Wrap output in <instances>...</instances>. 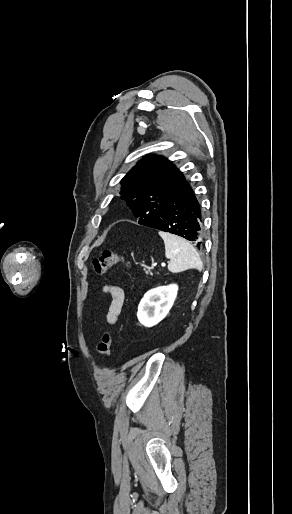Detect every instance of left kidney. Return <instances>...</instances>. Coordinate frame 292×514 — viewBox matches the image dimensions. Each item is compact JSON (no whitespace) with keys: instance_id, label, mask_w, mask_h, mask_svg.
I'll list each match as a JSON object with an SVG mask.
<instances>
[{"instance_id":"5707ae66","label":"left kidney","mask_w":292,"mask_h":514,"mask_svg":"<svg viewBox=\"0 0 292 514\" xmlns=\"http://www.w3.org/2000/svg\"><path fill=\"white\" fill-rule=\"evenodd\" d=\"M177 292L176 284L160 286L146 292L138 306L137 318L140 324L151 328L166 318L176 300Z\"/></svg>"}]
</instances>
